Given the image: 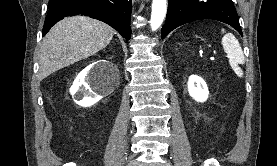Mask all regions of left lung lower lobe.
Listing matches in <instances>:
<instances>
[{
    "label": "left lung lower lobe",
    "mask_w": 277,
    "mask_h": 166,
    "mask_svg": "<svg viewBox=\"0 0 277 166\" xmlns=\"http://www.w3.org/2000/svg\"><path fill=\"white\" fill-rule=\"evenodd\" d=\"M203 19L227 23L243 36L232 0H169L161 38L183 24Z\"/></svg>",
    "instance_id": "left-lung-lower-lobe-1"
}]
</instances>
